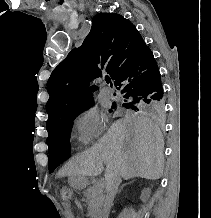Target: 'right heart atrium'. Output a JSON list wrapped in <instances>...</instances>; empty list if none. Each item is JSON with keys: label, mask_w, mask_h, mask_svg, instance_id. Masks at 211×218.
Instances as JSON below:
<instances>
[{"label": "right heart atrium", "mask_w": 211, "mask_h": 218, "mask_svg": "<svg viewBox=\"0 0 211 218\" xmlns=\"http://www.w3.org/2000/svg\"><path fill=\"white\" fill-rule=\"evenodd\" d=\"M74 130L82 144L96 138L104 128V118L100 111L88 108L81 112L73 122Z\"/></svg>", "instance_id": "right-heart-atrium-1"}]
</instances>
